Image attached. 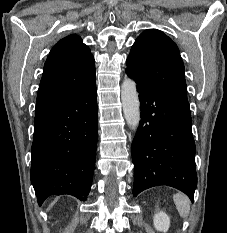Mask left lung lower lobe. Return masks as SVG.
Returning <instances> with one entry per match:
<instances>
[{
	"mask_svg": "<svg viewBox=\"0 0 227 233\" xmlns=\"http://www.w3.org/2000/svg\"><path fill=\"white\" fill-rule=\"evenodd\" d=\"M134 79L140 98L141 120L132 143L133 195L167 185L193 201L197 186L195 142L187 99Z\"/></svg>",
	"mask_w": 227,
	"mask_h": 233,
	"instance_id": "left-lung-lower-lobe-1",
	"label": "left lung lower lobe"
}]
</instances>
